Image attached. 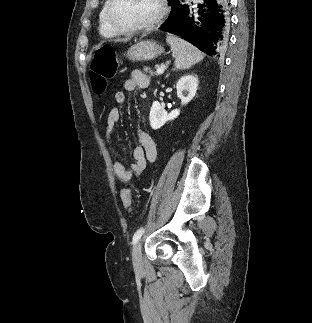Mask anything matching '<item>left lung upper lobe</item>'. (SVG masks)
<instances>
[{
  "instance_id": "5c2ea615",
  "label": "left lung upper lobe",
  "mask_w": 312,
  "mask_h": 323,
  "mask_svg": "<svg viewBox=\"0 0 312 323\" xmlns=\"http://www.w3.org/2000/svg\"><path fill=\"white\" fill-rule=\"evenodd\" d=\"M168 1H169V4L171 5V12H170V15L166 21H169L170 19H172V17L174 16V14L177 10L178 5L180 4V0H168Z\"/></svg>"
}]
</instances>
